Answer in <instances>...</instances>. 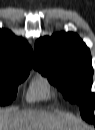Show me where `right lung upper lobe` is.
<instances>
[{"label":"right lung upper lobe","mask_w":95,"mask_h":130,"mask_svg":"<svg viewBox=\"0 0 95 130\" xmlns=\"http://www.w3.org/2000/svg\"><path fill=\"white\" fill-rule=\"evenodd\" d=\"M33 62V52L22 39L10 31L0 30V70L30 69Z\"/></svg>","instance_id":"obj_1"}]
</instances>
